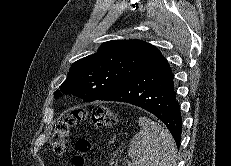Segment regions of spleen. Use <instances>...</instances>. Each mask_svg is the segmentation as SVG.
Segmentation results:
<instances>
[{"label":"spleen","mask_w":231,"mask_h":166,"mask_svg":"<svg viewBox=\"0 0 231 166\" xmlns=\"http://www.w3.org/2000/svg\"><path fill=\"white\" fill-rule=\"evenodd\" d=\"M140 131L132 138L128 155L133 166H177V148L170 132L157 122L140 117Z\"/></svg>","instance_id":"obj_1"}]
</instances>
